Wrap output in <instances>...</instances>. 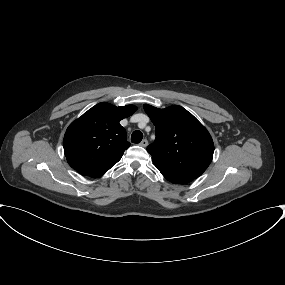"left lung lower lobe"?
Returning a JSON list of instances; mask_svg holds the SVG:
<instances>
[{"label": "left lung lower lobe", "instance_id": "0a47b994", "mask_svg": "<svg viewBox=\"0 0 285 285\" xmlns=\"http://www.w3.org/2000/svg\"><path fill=\"white\" fill-rule=\"evenodd\" d=\"M159 170V169H158ZM162 175L170 182L172 183H177V184H186L194 180V178L180 175L177 173H172V172H165L163 170H159Z\"/></svg>", "mask_w": 285, "mask_h": 285}]
</instances>
